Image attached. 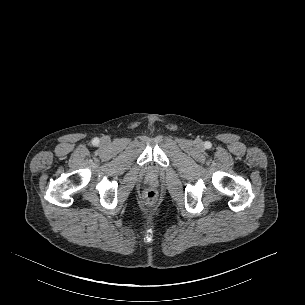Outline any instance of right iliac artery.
I'll use <instances>...</instances> for the list:
<instances>
[{
  "instance_id": "1",
  "label": "right iliac artery",
  "mask_w": 305,
  "mask_h": 305,
  "mask_svg": "<svg viewBox=\"0 0 305 305\" xmlns=\"http://www.w3.org/2000/svg\"><path fill=\"white\" fill-rule=\"evenodd\" d=\"M98 143H99V139H98V138H94V139H93V144L96 145V144H98Z\"/></svg>"
}]
</instances>
